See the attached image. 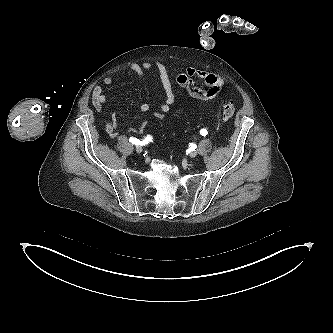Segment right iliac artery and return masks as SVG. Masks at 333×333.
Returning <instances> with one entry per match:
<instances>
[{
	"label": "right iliac artery",
	"instance_id": "right-iliac-artery-1",
	"mask_svg": "<svg viewBox=\"0 0 333 333\" xmlns=\"http://www.w3.org/2000/svg\"><path fill=\"white\" fill-rule=\"evenodd\" d=\"M151 139H152L151 136H147L143 141H140L139 139L130 137L129 142H131L132 144H135V145H144V144H147L149 141H151Z\"/></svg>",
	"mask_w": 333,
	"mask_h": 333
}]
</instances>
